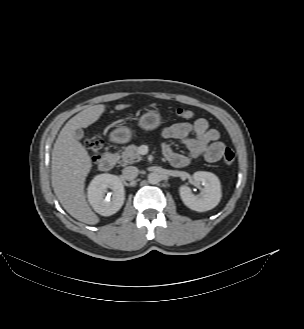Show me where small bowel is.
<instances>
[{"instance_id": "small-bowel-1", "label": "small bowel", "mask_w": 304, "mask_h": 329, "mask_svg": "<svg viewBox=\"0 0 304 329\" xmlns=\"http://www.w3.org/2000/svg\"><path fill=\"white\" fill-rule=\"evenodd\" d=\"M162 136L173 142L184 144L187 153L173 150L171 143H165L162 154L174 167L182 168L191 162L203 158L214 163L222 158L225 145L219 141V132L211 128L204 118L197 119L194 123H176L163 129Z\"/></svg>"}]
</instances>
